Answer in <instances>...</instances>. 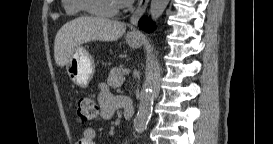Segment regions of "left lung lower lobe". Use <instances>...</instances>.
Instances as JSON below:
<instances>
[{
  "mask_svg": "<svg viewBox=\"0 0 273 144\" xmlns=\"http://www.w3.org/2000/svg\"><path fill=\"white\" fill-rule=\"evenodd\" d=\"M139 28L146 31L152 32L155 28L154 23L148 17H142L138 23Z\"/></svg>",
  "mask_w": 273,
  "mask_h": 144,
  "instance_id": "left-lung-lower-lobe-1",
  "label": "left lung lower lobe"
}]
</instances>
